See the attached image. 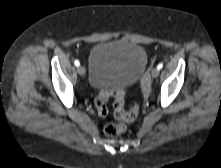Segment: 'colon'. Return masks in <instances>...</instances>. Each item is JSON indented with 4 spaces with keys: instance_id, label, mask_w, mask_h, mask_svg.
<instances>
[{
    "instance_id": "5ec220e1",
    "label": "colon",
    "mask_w": 221,
    "mask_h": 168,
    "mask_svg": "<svg viewBox=\"0 0 221 168\" xmlns=\"http://www.w3.org/2000/svg\"><path fill=\"white\" fill-rule=\"evenodd\" d=\"M141 90L144 94L149 91V82L146 76L142 78ZM114 97V115L123 122H131L137 118L140 112L138 104L133 105L130 109H125V91L122 88H114L110 91L101 93L95 100V107L98 115L105 116L108 112L107 101L109 96ZM124 125L122 123H108L104 126V133L107 136L115 137L122 133Z\"/></svg>"
}]
</instances>
